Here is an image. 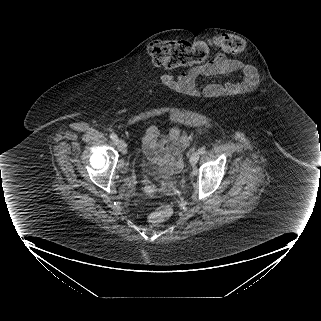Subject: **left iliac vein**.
<instances>
[{"label":"left iliac vein","mask_w":321,"mask_h":321,"mask_svg":"<svg viewBox=\"0 0 321 321\" xmlns=\"http://www.w3.org/2000/svg\"><path fill=\"white\" fill-rule=\"evenodd\" d=\"M199 160V152L194 151L190 156V164L194 166Z\"/></svg>","instance_id":"left-iliac-vein-1"}]
</instances>
